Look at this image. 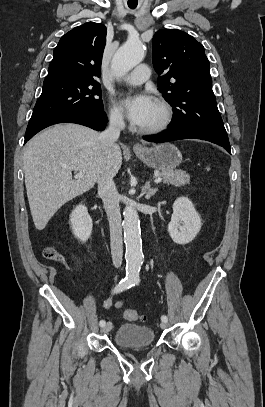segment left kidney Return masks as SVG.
<instances>
[{
  "label": "left kidney",
  "mask_w": 265,
  "mask_h": 407,
  "mask_svg": "<svg viewBox=\"0 0 265 407\" xmlns=\"http://www.w3.org/2000/svg\"><path fill=\"white\" fill-rule=\"evenodd\" d=\"M201 229V218L187 197H179L173 204V214L168 225L172 240L180 245L190 243Z\"/></svg>",
  "instance_id": "1"
}]
</instances>
